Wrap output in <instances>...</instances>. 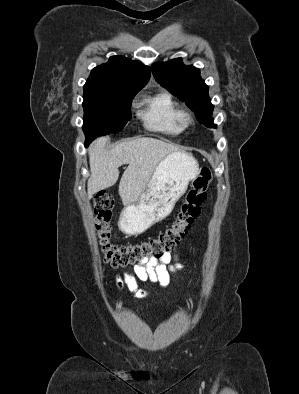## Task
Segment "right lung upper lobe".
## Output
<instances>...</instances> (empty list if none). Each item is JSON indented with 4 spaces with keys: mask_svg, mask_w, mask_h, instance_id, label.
<instances>
[{
    "mask_svg": "<svg viewBox=\"0 0 299 394\" xmlns=\"http://www.w3.org/2000/svg\"><path fill=\"white\" fill-rule=\"evenodd\" d=\"M149 78L148 66L123 56H112L108 63L92 69L84 92L140 91Z\"/></svg>",
    "mask_w": 299,
    "mask_h": 394,
    "instance_id": "obj_1",
    "label": "right lung upper lobe"
}]
</instances>
